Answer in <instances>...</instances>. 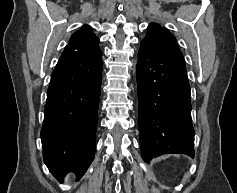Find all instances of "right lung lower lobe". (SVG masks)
<instances>
[{"instance_id":"98d812e1","label":"right lung lower lobe","mask_w":237,"mask_h":193,"mask_svg":"<svg viewBox=\"0 0 237 193\" xmlns=\"http://www.w3.org/2000/svg\"><path fill=\"white\" fill-rule=\"evenodd\" d=\"M102 52L63 51L51 77L41 129L44 162L62 181L68 172L79 180L95 154L102 81Z\"/></svg>"}]
</instances>
